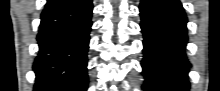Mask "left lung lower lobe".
Instances as JSON below:
<instances>
[{
	"label": "left lung lower lobe",
	"instance_id": "1",
	"mask_svg": "<svg viewBox=\"0 0 220 91\" xmlns=\"http://www.w3.org/2000/svg\"><path fill=\"white\" fill-rule=\"evenodd\" d=\"M145 91H188L187 17L179 0H141Z\"/></svg>",
	"mask_w": 220,
	"mask_h": 91
}]
</instances>
